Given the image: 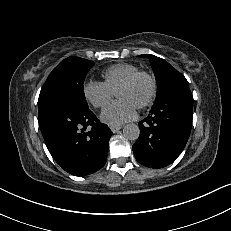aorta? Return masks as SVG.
Segmentation results:
<instances>
[{"instance_id": "1", "label": "aorta", "mask_w": 231, "mask_h": 231, "mask_svg": "<svg viewBox=\"0 0 231 231\" xmlns=\"http://www.w3.org/2000/svg\"><path fill=\"white\" fill-rule=\"evenodd\" d=\"M123 135L128 140H137L140 135V129L136 124H127L123 128Z\"/></svg>"}]
</instances>
